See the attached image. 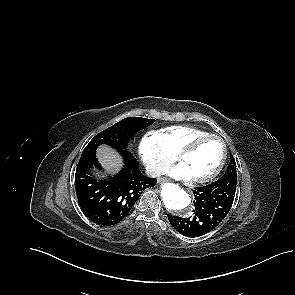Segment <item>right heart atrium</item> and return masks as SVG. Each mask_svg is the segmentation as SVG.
<instances>
[{
  "label": "right heart atrium",
  "instance_id": "right-heart-atrium-1",
  "mask_svg": "<svg viewBox=\"0 0 295 295\" xmlns=\"http://www.w3.org/2000/svg\"><path fill=\"white\" fill-rule=\"evenodd\" d=\"M139 155L152 176H159L175 159V155L164 147L157 132H148L143 136Z\"/></svg>",
  "mask_w": 295,
  "mask_h": 295
}]
</instances>
